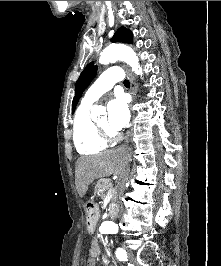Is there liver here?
<instances>
[{
    "instance_id": "1",
    "label": "liver",
    "mask_w": 221,
    "mask_h": 266,
    "mask_svg": "<svg viewBox=\"0 0 221 266\" xmlns=\"http://www.w3.org/2000/svg\"><path fill=\"white\" fill-rule=\"evenodd\" d=\"M130 159L126 147L111 149L92 156H82L75 164V185L80 197L88 186L98 178L117 175L123 177Z\"/></svg>"
}]
</instances>
